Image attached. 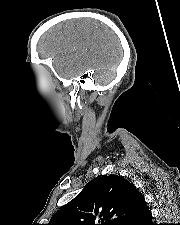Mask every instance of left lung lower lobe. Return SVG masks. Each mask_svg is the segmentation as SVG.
<instances>
[{
    "label": "left lung lower lobe",
    "instance_id": "obj_1",
    "mask_svg": "<svg viewBox=\"0 0 180 225\" xmlns=\"http://www.w3.org/2000/svg\"><path fill=\"white\" fill-rule=\"evenodd\" d=\"M124 225H154L149 208L145 206L142 210L127 220Z\"/></svg>",
    "mask_w": 180,
    "mask_h": 225
}]
</instances>
